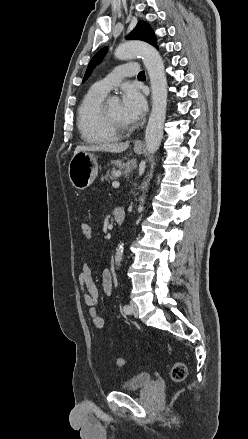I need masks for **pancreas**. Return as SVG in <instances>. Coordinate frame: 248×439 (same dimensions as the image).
Wrapping results in <instances>:
<instances>
[{"mask_svg":"<svg viewBox=\"0 0 248 439\" xmlns=\"http://www.w3.org/2000/svg\"><path fill=\"white\" fill-rule=\"evenodd\" d=\"M120 175H121L120 170H116L115 168H112L111 170L107 171L106 175L102 176V180H109V178L111 180H114L117 177H119Z\"/></svg>","mask_w":248,"mask_h":439,"instance_id":"1","label":"pancreas"}]
</instances>
